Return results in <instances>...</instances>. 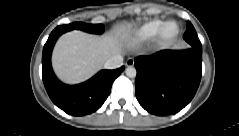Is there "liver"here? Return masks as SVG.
<instances>
[{"instance_id": "liver-1", "label": "liver", "mask_w": 239, "mask_h": 136, "mask_svg": "<svg viewBox=\"0 0 239 136\" xmlns=\"http://www.w3.org/2000/svg\"><path fill=\"white\" fill-rule=\"evenodd\" d=\"M131 24L120 25L103 36L73 30L57 40L52 52V66L59 79L68 84L88 80L105 61L121 51L122 40Z\"/></svg>"}]
</instances>
